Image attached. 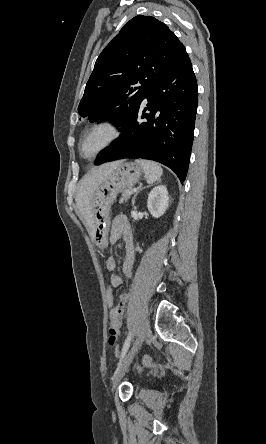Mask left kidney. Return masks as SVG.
Segmentation results:
<instances>
[{
  "mask_svg": "<svg viewBox=\"0 0 266 444\" xmlns=\"http://www.w3.org/2000/svg\"><path fill=\"white\" fill-rule=\"evenodd\" d=\"M168 191L166 186L158 185L149 193L147 207L153 217L162 216L168 208Z\"/></svg>",
  "mask_w": 266,
  "mask_h": 444,
  "instance_id": "obj_1",
  "label": "left kidney"
}]
</instances>
